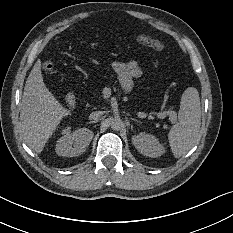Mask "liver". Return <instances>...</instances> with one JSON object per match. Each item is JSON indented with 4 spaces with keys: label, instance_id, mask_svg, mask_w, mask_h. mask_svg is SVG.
<instances>
[{
    "label": "liver",
    "instance_id": "6515ba94",
    "mask_svg": "<svg viewBox=\"0 0 233 233\" xmlns=\"http://www.w3.org/2000/svg\"><path fill=\"white\" fill-rule=\"evenodd\" d=\"M71 111L46 87L38 59L27 77L20 107V126L28 146L37 153L42 152L45 143L64 116Z\"/></svg>",
    "mask_w": 233,
    "mask_h": 233
}]
</instances>
